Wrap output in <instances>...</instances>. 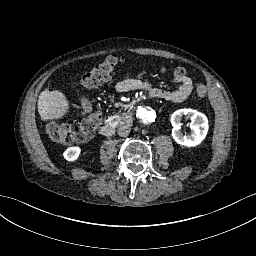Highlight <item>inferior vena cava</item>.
<instances>
[{
    "instance_id": "obj_1",
    "label": "inferior vena cava",
    "mask_w": 256,
    "mask_h": 256,
    "mask_svg": "<svg viewBox=\"0 0 256 256\" xmlns=\"http://www.w3.org/2000/svg\"><path fill=\"white\" fill-rule=\"evenodd\" d=\"M131 131V128L129 126L126 125H122L118 127V135L126 137L129 135Z\"/></svg>"
}]
</instances>
